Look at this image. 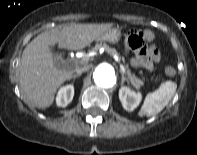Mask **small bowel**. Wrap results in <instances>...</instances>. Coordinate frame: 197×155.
Returning a JSON list of instances; mask_svg holds the SVG:
<instances>
[{
	"mask_svg": "<svg viewBox=\"0 0 197 155\" xmlns=\"http://www.w3.org/2000/svg\"><path fill=\"white\" fill-rule=\"evenodd\" d=\"M149 33V32H148ZM151 35V33H149ZM152 39V35H151ZM128 45V43H127ZM160 56L155 48H151L145 53L132 57L130 62L131 65L136 68L152 69L159 62Z\"/></svg>",
	"mask_w": 197,
	"mask_h": 155,
	"instance_id": "1",
	"label": "small bowel"
}]
</instances>
